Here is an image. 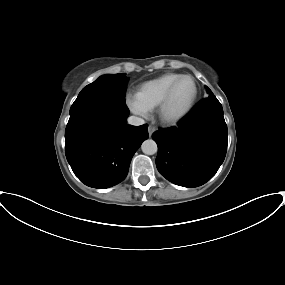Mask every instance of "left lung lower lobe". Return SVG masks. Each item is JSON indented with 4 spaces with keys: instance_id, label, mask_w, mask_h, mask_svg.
Segmentation results:
<instances>
[{
    "instance_id": "obj_1",
    "label": "left lung lower lobe",
    "mask_w": 285,
    "mask_h": 285,
    "mask_svg": "<svg viewBox=\"0 0 285 285\" xmlns=\"http://www.w3.org/2000/svg\"><path fill=\"white\" fill-rule=\"evenodd\" d=\"M152 138L158 145L157 169L167 180L190 188L203 185L226 155L228 131L222 106L209 96L177 126L159 129Z\"/></svg>"
}]
</instances>
